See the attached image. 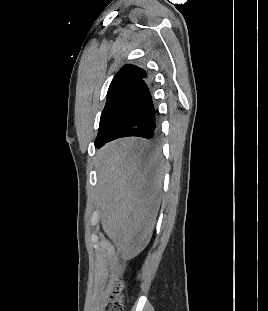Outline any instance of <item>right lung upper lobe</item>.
I'll return each mask as SVG.
<instances>
[{
  "mask_svg": "<svg viewBox=\"0 0 268 311\" xmlns=\"http://www.w3.org/2000/svg\"><path fill=\"white\" fill-rule=\"evenodd\" d=\"M146 76V72L143 69L131 64H127L123 66L113 78L108 93H111L125 86H136Z\"/></svg>",
  "mask_w": 268,
  "mask_h": 311,
  "instance_id": "right-lung-upper-lobe-1",
  "label": "right lung upper lobe"
}]
</instances>
